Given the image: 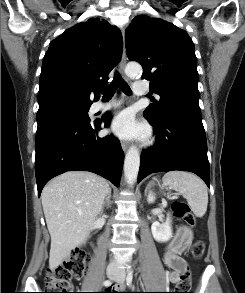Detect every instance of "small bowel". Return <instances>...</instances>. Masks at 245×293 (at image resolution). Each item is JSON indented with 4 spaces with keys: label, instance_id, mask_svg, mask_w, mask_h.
<instances>
[{
    "label": "small bowel",
    "instance_id": "1",
    "mask_svg": "<svg viewBox=\"0 0 245 293\" xmlns=\"http://www.w3.org/2000/svg\"><path fill=\"white\" fill-rule=\"evenodd\" d=\"M164 263L169 267L170 271L167 273V280L171 284H175L179 281L180 276L187 270V262L177 254L174 243H170L169 248L163 255ZM116 293H126L123 290H119Z\"/></svg>",
    "mask_w": 245,
    "mask_h": 293
}]
</instances>
